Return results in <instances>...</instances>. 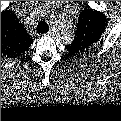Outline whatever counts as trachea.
Wrapping results in <instances>:
<instances>
[{
	"instance_id": "3493384b",
	"label": "trachea",
	"mask_w": 121,
	"mask_h": 121,
	"mask_svg": "<svg viewBox=\"0 0 121 121\" xmlns=\"http://www.w3.org/2000/svg\"><path fill=\"white\" fill-rule=\"evenodd\" d=\"M49 26L45 21H41L37 25V32L39 33H45L48 32Z\"/></svg>"
}]
</instances>
